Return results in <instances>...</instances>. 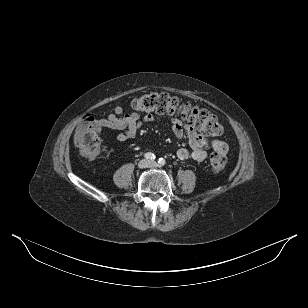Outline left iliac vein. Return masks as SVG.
Returning a JSON list of instances; mask_svg holds the SVG:
<instances>
[{
    "instance_id": "left-iliac-vein-1",
    "label": "left iliac vein",
    "mask_w": 308,
    "mask_h": 308,
    "mask_svg": "<svg viewBox=\"0 0 308 308\" xmlns=\"http://www.w3.org/2000/svg\"><path fill=\"white\" fill-rule=\"evenodd\" d=\"M157 163L155 161H150V167H155Z\"/></svg>"
}]
</instances>
